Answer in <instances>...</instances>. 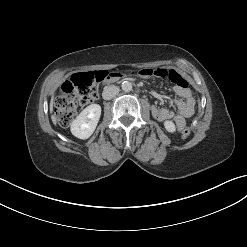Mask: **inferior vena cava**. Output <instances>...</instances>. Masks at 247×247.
<instances>
[{
  "mask_svg": "<svg viewBox=\"0 0 247 247\" xmlns=\"http://www.w3.org/2000/svg\"><path fill=\"white\" fill-rule=\"evenodd\" d=\"M119 93V88L117 86H106L104 87L102 97L105 100H110L114 98Z\"/></svg>",
  "mask_w": 247,
  "mask_h": 247,
  "instance_id": "1",
  "label": "inferior vena cava"
}]
</instances>
